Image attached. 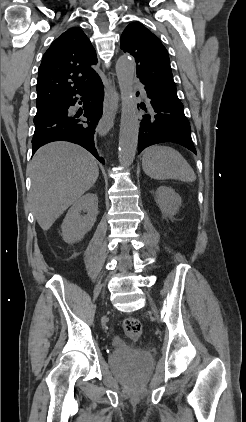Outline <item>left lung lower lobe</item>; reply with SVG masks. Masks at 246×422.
Returning a JSON list of instances; mask_svg holds the SVG:
<instances>
[{
  "instance_id": "1",
  "label": "left lung lower lobe",
  "mask_w": 246,
  "mask_h": 422,
  "mask_svg": "<svg viewBox=\"0 0 246 422\" xmlns=\"http://www.w3.org/2000/svg\"><path fill=\"white\" fill-rule=\"evenodd\" d=\"M144 85L147 100L145 104H140V108L146 113L141 119L138 152L154 144L173 142L196 154L183 104L173 101L150 85Z\"/></svg>"
}]
</instances>
